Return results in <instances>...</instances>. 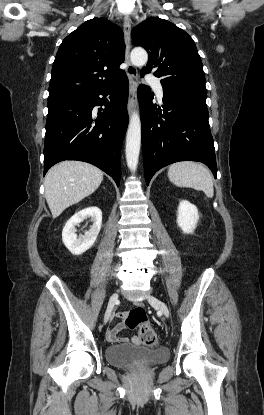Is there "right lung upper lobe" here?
<instances>
[{"instance_id": "cb5924a9", "label": "right lung upper lobe", "mask_w": 264, "mask_h": 415, "mask_svg": "<svg viewBox=\"0 0 264 415\" xmlns=\"http://www.w3.org/2000/svg\"><path fill=\"white\" fill-rule=\"evenodd\" d=\"M121 29L104 18L84 22L61 43L51 73L49 101L102 89L125 72Z\"/></svg>"}]
</instances>
